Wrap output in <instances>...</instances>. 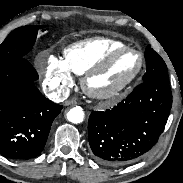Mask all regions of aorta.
Instances as JSON below:
<instances>
[{"label": "aorta", "mask_w": 183, "mask_h": 183, "mask_svg": "<svg viewBox=\"0 0 183 183\" xmlns=\"http://www.w3.org/2000/svg\"><path fill=\"white\" fill-rule=\"evenodd\" d=\"M68 121L78 124L84 120V111L81 107L77 106L69 110L67 113Z\"/></svg>", "instance_id": "obj_1"}]
</instances>
